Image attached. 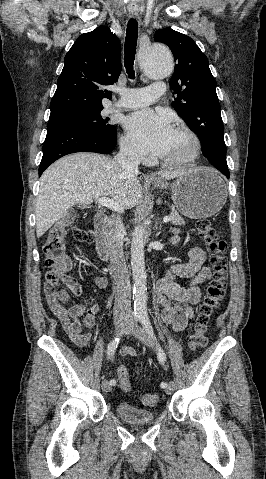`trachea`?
I'll return each mask as SVG.
<instances>
[{"label":"trachea","instance_id":"3493384b","mask_svg":"<svg viewBox=\"0 0 266 479\" xmlns=\"http://www.w3.org/2000/svg\"><path fill=\"white\" fill-rule=\"evenodd\" d=\"M138 38V23L135 19H130L127 25L126 38H125V68L130 79L135 78V72L133 69L136 46Z\"/></svg>","mask_w":266,"mask_h":479}]
</instances>
